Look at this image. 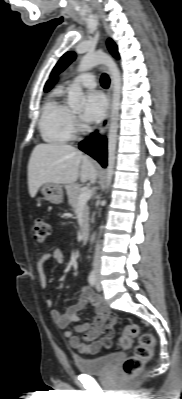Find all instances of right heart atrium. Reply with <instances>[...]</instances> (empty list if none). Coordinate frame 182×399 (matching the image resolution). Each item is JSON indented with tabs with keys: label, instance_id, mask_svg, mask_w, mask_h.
Returning <instances> with one entry per match:
<instances>
[{
	"label": "right heart atrium",
	"instance_id": "d8ad5b80",
	"mask_svg": "<svg viewBox=\"0 0 182 399\" xmlns=\"http://www.w3.org/2000/svg\"><path fill=\"white\" fill-rule=\"evenodd\" d=\"M72 124L74 127H76L78 125L77 119L75 117H72Z\"/></svg>",
	"mask_w": 182,
	"mask_h": 399
}]
</instances>
